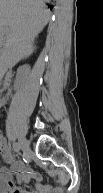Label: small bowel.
Masks as SVG:
<instances>
[{
	"label": "small bowel",
	"instance_id": "1",
	"mask_svg": "<svg viewBox=\"0 0 103 193\" xmlns=\"http://www.w3.org/2000/svg\"><path fill=\"white\" fill-rule=\"evenodd\" d=\"M0 154L2 155L4 161L6 163L11 164L10 168L3 167L1 169L0 181H1V190L0 193H14L16 185L14 183V179L20 184H29L31 180H33L38 190L23 192L22 193H63V187H53L49 184L41 185V176L40 174L27 167L23 162L16 161L14 159L13 153L7 146L6 140L1 138L0 140Z\"/></svg>",
	"mask_w": 103,
	"mask_h": 193
}]
</instances>
